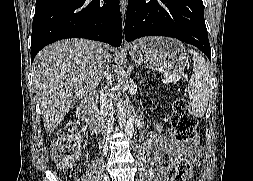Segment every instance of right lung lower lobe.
<instances>
[{
    "label": "right lung lower lobe",
    "instance_id": "1",
    "mask_svg": "<svg viewBox=\"0 0 253 181\" xmlns=\"http://www.w3.org/2000/svg\"><path fill=\"white\" fill-rule=\"evenodd\" d=\"M73 37L120 46L122 23L118 0H36L31 62L44 46Z\"/></svg>",
    "mask_w": 253,
    "mask_h": 181
}]
</instances>
